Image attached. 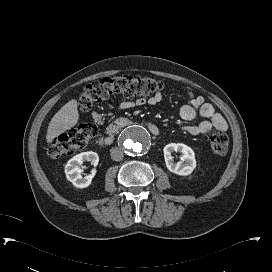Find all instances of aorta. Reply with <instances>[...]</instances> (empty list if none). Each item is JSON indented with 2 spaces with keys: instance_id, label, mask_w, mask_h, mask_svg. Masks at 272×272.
Returning <instances> with one entry per match:
<instances>
[{
  "instance_id": "1",
  "label": "aorta",
  "mask_w": 272,
  "mask_h": 272,
  "mask_svg": "<svg viewBox=\"0 0 272 272\" xmlns=\"http://www.w3.org/2000/svg\"><path fill=\"white\" fill-rule=\"evenodd\" d=\"M120 144L125 152L132 156L146 153L151 145V138L146 129L135 125L127 128L120 137Z\"/></svg>"
}]
</instances>
